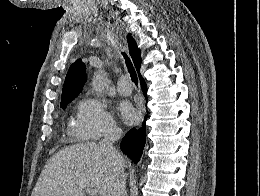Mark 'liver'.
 I'll return each mask as SVG.
<instances>
[{"mask_svg": "<svg viewBox=\"0 0 260 196\" xmlns=\"http://www.w3.org/2000/svg\"><path fill=\"white\" fill-rule=\"evenodd\" d=\"M116 172L111 154H105L98 144H75L48 160L31 196H85L83 188L109 196Z\"/></svg>", "mask_w": 260, "mask_h": 196, "instance_id": "1", "label": "liver"}]
</instances>
